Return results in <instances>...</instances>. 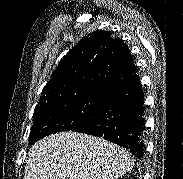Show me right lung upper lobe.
Here are the masks:
<instances>
[{"label":"right lung upper lobe","mask_w":183,"mask_h":179,"mask_svg":"<svg viewBox=\"0 0 183 179\" xmlns=\"http://www.w3.org/2000/svg\"><path fill=\"white\" fill-rule=\"evenodd\" d=\"M126 43L109 31L82 38L59 62L43 88L38 106L87 94H103L118 80L136 73Z\"/></svg>","instance_id":"cb5924a9"}]
</instances>
